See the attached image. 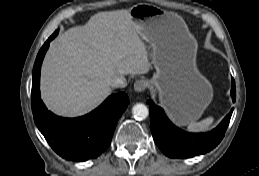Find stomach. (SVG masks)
<instances>
[{"label":"stomach","mask_w":259,"mask_h":176,"mask_svg":"<svg viewBox=\"0 0 259 176\" xmlns=\"http://www.w3.org/2000/svg\"><path fill=\"white\" fill-rule=\"evenodd\" d=\"M140 37L149 44L156 73L150 84L160 104L178 125L198 120L213 97V89L196 67L197 43L183 20L147 3L130 9Z\"/></svg>","instance_id":"0dacf381"}]
</instances>
